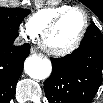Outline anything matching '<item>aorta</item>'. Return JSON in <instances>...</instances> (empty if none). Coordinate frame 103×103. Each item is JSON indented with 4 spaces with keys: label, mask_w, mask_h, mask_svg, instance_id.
Here are the masks:
<instances>
[{
    "label": "aorta",
    "mask_w": 103,
    "mask_h": 103,
    "mask_svg": "<svg viewBox=\"0 0 103 103\" xmlns=\"http://www.w3.org/2000/svg\"><path fill=\"white\" fill-rule=\"evenodd\" d=\"M24 69L31 78L42 80L49 77L52 65L49 59L31 56L26 59Z\"/></svg>",
    "instance_id": "aorta-1"
}]
</instances>
